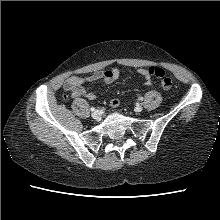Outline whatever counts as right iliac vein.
Returning <instances> with one entry per match:
<instances>
[{
  "instance_id": "1",
  "label": "right iliac vein",
  "mask_w": 220,
  "mask_h": 220,
  "mask_svg": "<svg viewBox=\"0 0 220 220\" xmlns=\"http://www.w3.org/2000/svg\"><path fill=\"white\" fill-rule=\"evenodd\" d=\"M100 116H101V114H100V112L97 111V110L92 113V117H93V119H95V120H98V119L100 118Z\"/></svg>"
}]
</instances>
